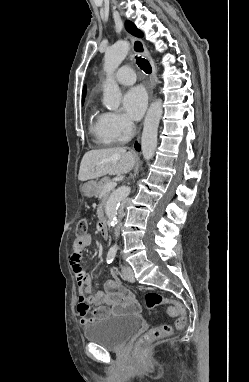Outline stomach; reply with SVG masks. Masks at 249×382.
<instances>
[{
  "label": "stomach",
  "instance_id": "0dacf381",
  "mask_svg": "<svg viewBox=\"0 0 249 382\" xmlns=\"http://www.w3.org/2000/svg\"><path fill=\"white\" fill-rule=\"evenodd\" d=\"M95 189H96V182L90 181L83 185L82 193L86 197H92L94 195Z\"/></svg>",
  "mask_w": 249,
  "mask_h": 382
}]
</instances>
